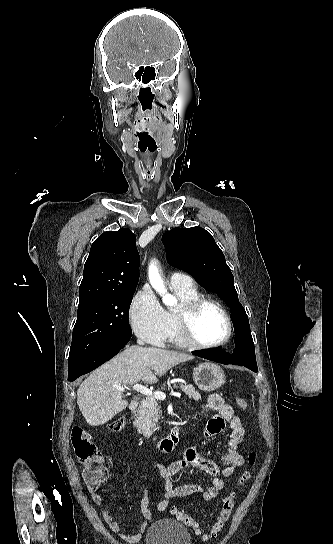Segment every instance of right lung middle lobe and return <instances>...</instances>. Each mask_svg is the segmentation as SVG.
<instances>
[{
  "mask_svg": "<svg viewBox=\"0 0 333 544\" xmlns=\"http://www.w3.org/2000/svg\"><path fill=\"white\" fill-rule=\"evenodd\" d=\"M134 292H107L78 305L69 362L82 358L107 338L122 332L132 333L129 307Z\"/></svg>",
  "mask_w": 333,
  "mask_h": 544,
  "instance_id": "dd1d6c3e",
  "label": "right lung middle lobe"
}]
</instances>
